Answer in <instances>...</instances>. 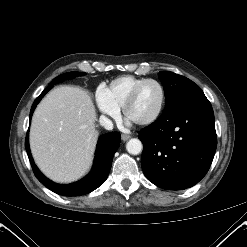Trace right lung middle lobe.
I'll return each instance as SVG.
<instances>
[{
    "instance_id": "dd1d6c3e",
    "label": "right lung middle lobe",
    "mask_w": 247,
    "mask_h": 247,
    "mask_svg": "<svg viewBox=\"0 0 247 247\" xmlns=\"http://www.w3.org/2000/svg\"><path fill=\"white\" fill-rule=\"evenodd\" d=\"M82 74H85V73H82ZM78 75H79V73L76 72V71H74V72H67V73H64V74L56 77L55 79H53V81H52L51 84L62 82L65 79H70V78H73V77L78 76Z\"/></svg>"
}]
</instances>
